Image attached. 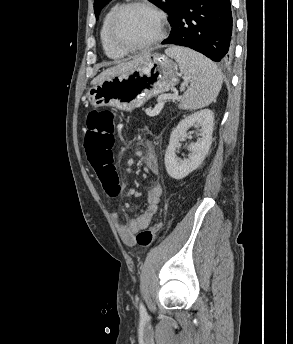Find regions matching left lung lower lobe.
<instances>
[{
	"label": "left lung lower lobe",
	"mask_w": 293,
	"mask_h": 344,
	"mask_svg": "<svg viewBox=\"0 0 293 344\" xmlns=\"http://www.w3.org/2000/svg\"><path fill=\"white\" fill-rule=\"evenodd\" d=\"M169 37L162 44L194 49L213 61L232 58L230 0H180Z\"/></svg>",
	"instance_id": "0a47b994"
}]
</instances>
